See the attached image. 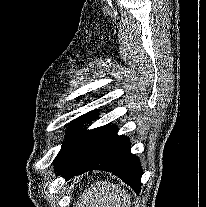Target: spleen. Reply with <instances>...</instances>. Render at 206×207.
Here are the masks:
<instances>
[{
  "label": "spleen",
  "instance_id": "spleen-1",
  "mask_svg": "<svg viewBox=\"0 0 206 207\" xmlns=\"http://www.w3.org/2000/svg\"><path fill=\"white\" fill-rule=\"evenodd\" d=\"M131 196L118 184L97 181L83 192L76 207H130Z\"/></svg>",
  "mask_w": 206,
  "mask_h": 207
}]
</instances>
